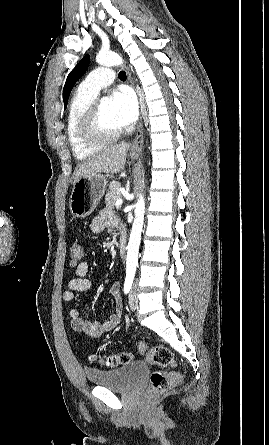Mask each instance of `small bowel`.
<instances>
[{
	"mask_svg": "<svg viewBox=\"0 0 269 445\" xmlns=\"http://www.w3.org/2000/svg\"><path fill=\"white\" fill-rule=\"evenodd\" d=\"M117 225V220L112 211L103 209L92 219L90 229L94 233H100L108 227ZM89 268L87 262H81L76 266L75 276L69 279L68 288L62 293L64 302L70 304L74 301L77 293H83L90 289L91 282L87 278ZM110 294L115 299L116 311L104 322H88L81 316L80 311L76 307L71 306L68 310V314L72 329L90 337H99L117 327L122 320L124 310L121 298V283L119 281H116L111 285Z\"/></svg>",
	"mask_w": 269,
	"mask_h": 445,
	"instance_id": "c3829d8e",
	"label": "small bowel"
}]
</instances>
